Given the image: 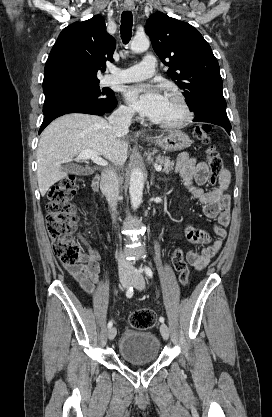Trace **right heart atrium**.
<instances>
[{
	"label": "right heart atrium",
	"mask_w": 272,
	"mask_h": 417,
	"mask_svg": "<svg viewBox=\"0 0 272 417\" xmlns=\"http://www.w3.org/2000/svg\"><path fill=\"white\" fill-rule=\"evenodd\" d=\"M118 113L123 118H131L134 112L129 105L123 104L119 107Z\"/></svg>",
	"instance_id": "right-heart-atrium-1"
}]
</instances>
